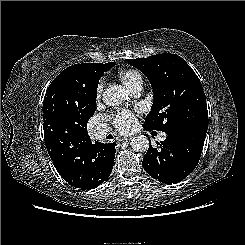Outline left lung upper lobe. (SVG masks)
<instances>
[{"instance_id": "1", "label": "left lung upper lobe", "mask_w": 245, "mask_h": 245, "mask_svg": "<svg viewBox=\"0 0 245 245\" xmlns=\"http://www.w3.org/2000/svg\"><path fill=\"white\" fill-rule=\"evenodd\" d=\"M151 83L154 102L145 127L166 134L188 128H208L206 98L199 78L178 55L162 53L147 58L127 59Z\"/></svg>"}]
</instances>
